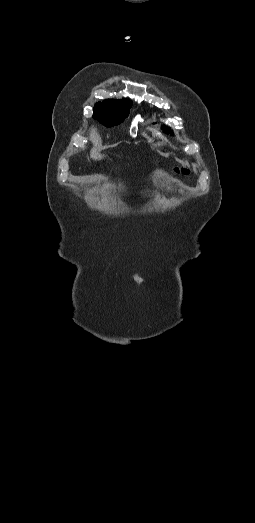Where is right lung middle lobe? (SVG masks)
Segmentation results:
<instances>
[{
    "mask_svg": "<svg viewBox=\"0 0 255 523\" xmlns=\"http://www.w3.org/2000/svg\"><path fill=\"white\" fill-rule=\"evenodd\" d=\"M131 105V102L97 105L94 107L93 117L101 124L111 127L128 116Z\"/></svg>",
    "mask_w": 255,
    "mask_h": 523,
    "instance_id": "1",
    "label": "right lung middle lobe"
}]
</instances>
